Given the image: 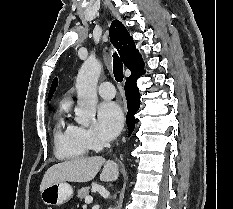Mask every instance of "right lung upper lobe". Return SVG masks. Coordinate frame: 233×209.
I'll return each instance as SVG.
<instances>
[{
  "mask_svg": "<svg viewBox=\"0 0 233 209\" xmlns=\"http://www.w3.org/2000/svg\"><path fill=\"white\" fill-rule=\"evenodd\" d=\"M109 34L111 42L117 48L124 65L131 71L130 77L142 73L144 67L142 57L136 50L134 41L125 26L119 20H114L111 23ZM57 85L58 81L57 78H55L49 91L48 100H50Z\"/></svg>",
  "mask_w": 233,
  "mask_h": 209,
  "instance_id": "obj_1",
  "label": "right lung upper lobe"
}]
</instances>
